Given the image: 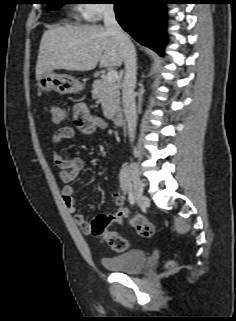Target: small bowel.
Wrapping results in <instances>:
<instances>
[{
  "instance_id": "1",
  "label": "small bowel",
  "mask_w": 236,
  "mask_h": 321,
  "mask_svg": "<svg viewBox=\"0 0 236 321\" xmlns=\"http://www.w3.org/2000/svg\"><path fill=\"white\" fill-rule=\"evenodd\" d=\"M107 128L106 122L92 114L84 103H77L73 108V125L60 127L53 134V143L56 149L53 152V161L60 169V178L64 183L62 187V199L67 211L74 215L73 219L77 226L84 233H88L90 223L85 219L83 214L77 213L75 188L71 184L82 171L84 161L79 157L65 158L57 149L64 141L71 139L76 130L85 135L93 133L96 129ZM123 188V186H121ZM112 198L118 205L125 201V195L120 190L112 192Z\"/></svg>"
}]
</instances>
